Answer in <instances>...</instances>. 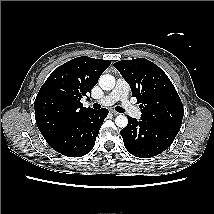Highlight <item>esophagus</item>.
I'll return each instance as SVG.
<instances>
[{"label": "esophagus", "instance_id": "34e87169", "mask_svg": "<svg viewBox=\"0 0 214 214\" xmlns=\"http://www.w3.org/2000/svg\"><path fill=\"white\" fill-rule=\"evenodd\" d=\"M111 113L113 114V115H115V116H117V115H119V113L118 112H116V111H111Z\"/></svg>", "mask_w": 214, "mask_h": 214}]
</instances>
